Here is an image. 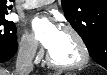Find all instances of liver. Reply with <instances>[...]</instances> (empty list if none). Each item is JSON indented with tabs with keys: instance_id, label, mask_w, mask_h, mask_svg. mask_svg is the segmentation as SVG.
Returning a JSON list of instances; mask_svg holds the SVG:
<instances>
[{
	"instance_id": "1",
	"label": "liver",
	"mask_w": 107,
	"mask_h": 75,
	"mask_svg": "<svg viewBox=\"0 0 107 75\" xmlns=\"http://www.w3.org/2000/svg\"><path fill=\"white\" fill-rule=\"evenodd\" d=\"M0 75H8V72L4 70L3 68H1Z\"/></svg>"
}]
</instances>
